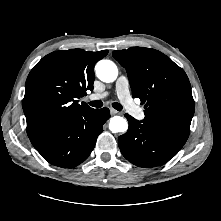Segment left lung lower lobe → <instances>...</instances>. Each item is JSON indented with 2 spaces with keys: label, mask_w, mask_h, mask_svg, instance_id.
<instances>
[{
  "label": "left lung lower lobe",
  "mask_w": 221,
  "mask_h": 221,
  "mask_svg": "<svg viewBox=\"0 0 221 221\" xmlns=\"http://www.w3.org/2000/svg\"><path fill=\"white\" fill-rule=\"evenodd\" d=\"M128 131L118 138L123 156L139 167H156L173 158L186 140L162 132L126 114Z\"/></svg>",
  "instance_id": "left-lung-lower-lobe-1"
}]
</instances>
